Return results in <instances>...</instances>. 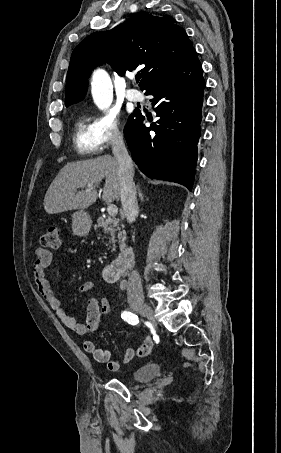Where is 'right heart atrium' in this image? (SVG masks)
I'll return each mask as SVG.
<instances>
[{
    "instance_id": "right-heart-atrium-1",
    "label": "right heart atrium",
    "mask_w": 281,
    "mask_h": 453,
    "mask_svg": "<svg viewBox=\"0 0 281 453\" xmlns=\"http://www.w3.org/2000/svg\"><path fill=\"white\" fill-rule=\"evenodd\" d=\"M91 90L94 98H105L108 94L107 86L104 82L94 79L91 81ZM97 135L105 148H111L119 144L124 136L123 126L115 113L104 112L94 121ZM105 171L109 175H115L119 171V165L108 155L103 157Z\"/></svg>"
}]
</instances>
